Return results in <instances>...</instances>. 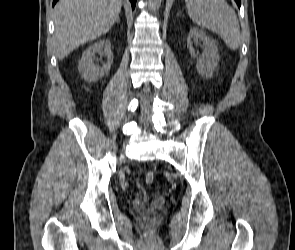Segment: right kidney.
I'll list each match as a JSON object with an SVG mask.
<instances>
[{
	"label": "right kidney",
	"mask_w": 295,
	"mask_h": 250,
	"mask_svg": "<svg viewBox=\"0 0 295 250\" xmlns=\"http://www.w3.org/2000/svg\"><path fill=\"white\" fill-rule=\"evenodd\" d=\"M96 53L107 56V63L102 67L96 66L94 64ZM112 63L113 53L111 51L110 41L100 40L83 52L78 69L85 81L95 82L98 79L104 77L109 72Z\"/></svg>",
	"instance_id": "ca27d5eb"
}]
</instances>
